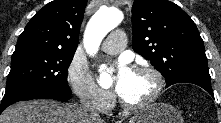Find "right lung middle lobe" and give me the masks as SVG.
Wrapping results in <instances>:
<instances>
[{"label": "right lung middle lobe", "mask_w": 221, "mask_h": 123, "mask_svg": "<svg viewBox=\"0 0 221 123\" xmlns=\"http://www.w3.org/2000/svg\"><path fill=\"white\" fill-rule=\"evenodd\" d=\"M73 56L74 53L40 49L15 51L2 104L17 97L33 99L54 89L71 91L67 69Z\"/></svg>", "instance_id": "dd1d6c3e"}]
</instances>
